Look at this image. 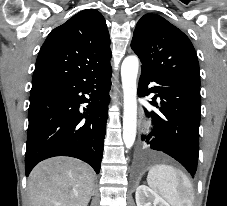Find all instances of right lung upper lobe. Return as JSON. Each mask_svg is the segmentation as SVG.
<instances>
[{
  "mask_svg": "<svg viewBox=\"0 0 227 206\" xmlns=\"http://www.w3.org/2000/svg\"><path fill=\"white\" fill-rule=\"evenodd\" d=\"M110 59L105 19L97 10L86 9L50 32L38 54L32 84L100 69Z\"/></svg>",
  "mask_w": 227,
  "mask_h": 206,
  "instance_id": "1",
  "label": "right lung upper lobe"
}]
</instances>
